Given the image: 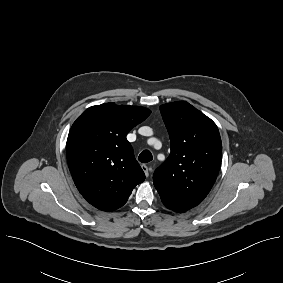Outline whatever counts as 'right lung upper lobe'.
Masks as SVG:
<instances>
[{
    "mask_svg": "<svg viewBox=\"0 0 283 283\" xmlns=\"http://www.w3.org/2000/svg\"><path fill=\"white\" fill-rule=\"evenodd\" d=\"M151 111L105 103L86 109L67 138V161L74 183L94 207L113 211L123 206L145 174L136 161L128 132Z\"/></svg>",
    "mask_w": 283,
    "mask_h": 283,
    "instance_id": "cb5924a9",
    "label": "right lung upper lobe"
}]
</instances>
